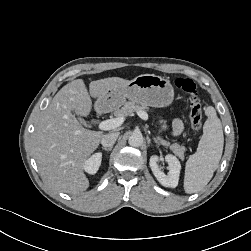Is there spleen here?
I'll return each mask as SVG.
<instances>
[{
  "mask_svg": "<svg viewBox=\"0 0 251 251\" xmlns=\"http://www.w3.org/2000/svg\"><path fill=\"white\" fill-rule=\"evenodd\" d=\"M207 120L197 152L189 156L185 167L184 190L188 194L203 189L213 177L220 162L224 136L220 119L213 107L206 110Z\"/></svg>",
  "mask_w": 251,
  "mask_h": 251,
  "instance_id": "3e777b00",
  "label": "spleen"
}]
</instances>
